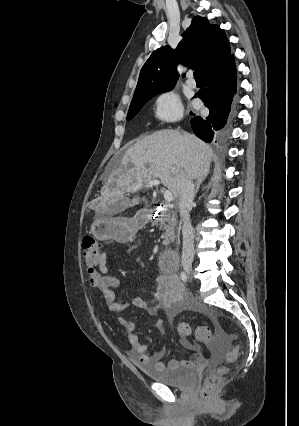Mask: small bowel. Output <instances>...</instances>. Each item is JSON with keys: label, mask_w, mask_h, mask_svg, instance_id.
<instances>
[{"label": "small bowel", "mask_w": 299, "mask_h": 426, "mask_svg": "<svg viewBox=\"0 0 299 426\" xmlns=\"http://www.w3.org/2000/svg\"><path fill=\"white\" fill-rule=\"evenodd\" d=\"M107 254L102 252L100 262L92 274L97 281V287L102 295L103 302L108 309L114 313H122L130 306L153 310H163L168 317L176 316L183 311H195L201 313L211 320H214L213 315L203 306L198 304L186 291L183 283L180 281L176 269L173 271L162 270V273L156 278V293L151 299H144L139 295H133L131 302L125 300H117L114 289L118 288L120 281L117 277L111 275L107 268ZM120 324L125 328L131 349L128 353L131 360L140 363H152L158 368H193L201 365L206 360L204 352L200 347L190 341H185L184 346L194 351L189 360L171 359L168 363L163 362V357L166 354V347L162 346L150 353L148 345L143 342L138 334L139 324L132 319L120 317ZM164 320L160 319L155 327L161 328L164 326Z\"/></svg>", "instance_id": "c3829d8e"}]
</instances>
